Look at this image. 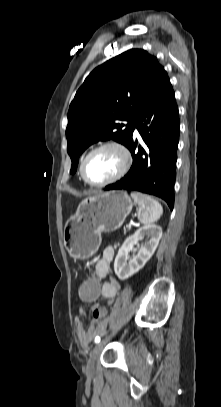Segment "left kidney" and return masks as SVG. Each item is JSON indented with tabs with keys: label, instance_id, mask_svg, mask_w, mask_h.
Wrapping results in <instances>:
<instances>
[{
	"label": "left kidney",
	"instance_id": "obj_1",
	"mask_svg": "<svg viewBox=\"0 0 221 407\" xmlns=\"http://www.w3.org/2000/svg\"><path fill=\"white\" fill-rule=\"evenodd\" d=\"M144 236H147L149 241L144 246H141L138 254L127 263L129 252ZM161 237L162 228L156 224L145 225L129 236L115 258L114 271L118 278L126 280L143 268L154 254Z\"/></svg>",
	"mask_w": 221,
	"mask_h": 407
}]
</instances>
